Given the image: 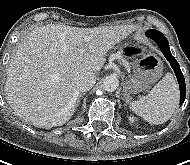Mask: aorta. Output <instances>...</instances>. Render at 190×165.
I'll use <instances>...</instances> for the list:
<instances>
[{
  "mask_svg": "<svg viewBox=\"0 0 190 165\" xmlns=\"http://www.w3.org/2000/svg\"><path fill=\"white\" fill-rule=\"evenodd\" d=\"M119 86V79L115 75L106 76L103 79V88L108 92L115 91Z\"/></svg>",
  "mask_w": 190,
  "mask_h": 165,
  "instance_id": "1",
  "label": "aorta"
}]
</instances>
